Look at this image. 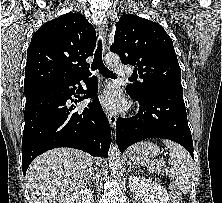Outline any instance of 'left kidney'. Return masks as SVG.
I'll list each match as a JSON object with an SVG mask.
<instances>
[{
  "instance_id": "1",
  "label": "left kidney",
  "mask_w": 222,
  "mask_h": 203,
  "mask_svg": "<svg viewBox=\"0 0 222 203\" xmlns=\"http://www.w3.org/2000/svg\"><path fill=\"white\" fill-rule=\"evenodd\" d=\"M129 187L143 203H169L167 190L159 183L139 176L129 177Z\"/></svg>"
}]
</instances>
